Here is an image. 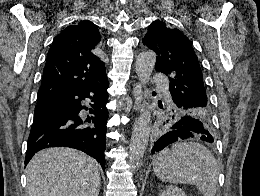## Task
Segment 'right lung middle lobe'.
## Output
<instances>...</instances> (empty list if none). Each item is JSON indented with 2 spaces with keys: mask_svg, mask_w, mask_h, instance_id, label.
<instances>
[{
  "mask_svg": "<svg viewBox=\"0 0 260 196\" xmlns=\"http://www.w3.org/2000/svg\"><path fill=\"white\" fill-rule=\"evenodd\" d=\"M52 117H53V115L35 113L33 124L45 121V120L50 119Z\"/></svg>",
  "mask_w": 260,
  "mask_h": 196,
  "instance_id": "obj_1",
  "label": "right lung middle lobe"
}]
</instances>
